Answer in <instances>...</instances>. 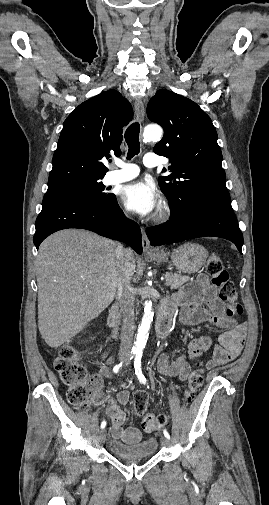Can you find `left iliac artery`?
Masks as SVG:
<instances>
[{
  "label": "left iliac artery",
  "mask_w": 269,
  "mask_h": 505,
  "mask_svg": "<svg viewBox=\"0 0 269 505\" xmlns=\"http://www.w3.org/2000/svg\"><path fill=\"white\" fill-rule=\"evenodd\" d=\"M141 357H142L141 353H137L135 356V360H134L135 374L137 375V377L141 383L146 384V378L144 377V375L142 373V368H141ZM163 433L167 439H170V435L166 429H164Z\"/></svg>",
  "instance_id": "left-iliac-artery-1"
}]
</instances>
